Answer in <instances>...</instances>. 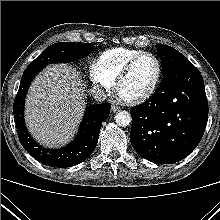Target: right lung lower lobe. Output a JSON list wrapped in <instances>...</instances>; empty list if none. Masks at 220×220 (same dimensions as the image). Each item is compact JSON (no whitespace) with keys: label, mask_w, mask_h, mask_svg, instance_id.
<instances>
[{"label":"right lung lower lobe","mask_w":220,"mask_h":220,"mask_svg":"<svg viewBox=\"0 0 220 220\" xmlns=\"http://www.w3.org/2000/svg\"><path fill=\"white\" fill-rule=\"evenodd\" d=\"M42 69L41 67H27L21 78L13 105L19 140L29 154L45 165L53 167L77 165L86 160L94 151L102 122L108 118L111 106L107 102L88 106L76 138L64 148L46 149L42 147L28 133L23 110L28 87Z\"/></svg>","instance_id":"1"}]
</instances>
